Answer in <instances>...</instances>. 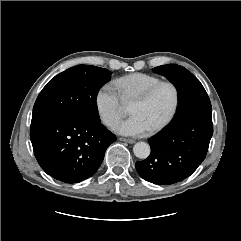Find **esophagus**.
Masks as SVG:
<instances>
[{
    "mask_svg": "<svg viewBox=\"0 0 241 241\" xmlns=\"http://www.w3.org/2000/svg\"><path fill=\"white\" fill-rule=\"evenodd\" d=\"M119 140H120V141L127 142V143H130V144L135 143V140H134V139L124 138V137H120Z\"/></svg>",
    "mask_w": 241,
    "mask_h": 241,
    "instance_id": "1",
    "label": "esophagus"
}]
</instances>
